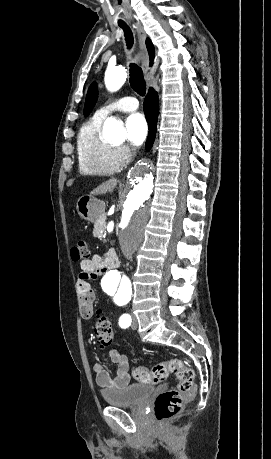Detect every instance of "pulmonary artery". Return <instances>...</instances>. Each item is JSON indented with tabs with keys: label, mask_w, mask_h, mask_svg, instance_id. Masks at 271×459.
Instances as JSON below:
<instances>
[{
	"label": "pulmonary artery",
	"mask_w": 271,
	"mask_h": 459,
	"mask_svg": "<svg viewBox=\"0 0 271 459\" xmlns=\"http://www.w3.org/2000/svg\"><path fill=\"white\" fill-rule=\"evenodd\" d=\"M137 109L138 102L135 100L134 97L119 98L118 101H113L98 109L95 112L94 117L103 120L114 111L132 112Z\"/></svg>",
	"instance_id": "pulmonary-artery-1"
}]
</instances>
